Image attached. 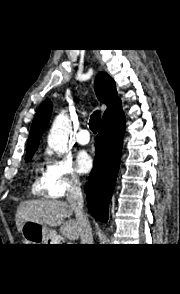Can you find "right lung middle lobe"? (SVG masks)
Returning <instances> with one entry per match:
<instances>
[{"label":"right lung middle lobe","instance_id":"1","mask_svg":"<svg viewBox=\"0 0 180 294\" xmlns=\"http://www.w3.org/2000/svg\"><path fill=\"white\" fill-rule=\"evenodd\" d=\"M31 158H32V157H27V158H26V161H28V160L31 159Z\"/></svg>","mask_w":180,"mask_h":294}]
</instances>
